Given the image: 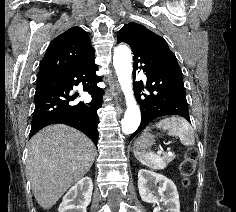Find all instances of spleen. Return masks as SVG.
<instances>
[{
  "mask_svg": "<svg viewBox=\"0 0 236 212\" xmlns=\"http://www.w3.org/2000/svg\"><path fill=\"white\" fill-rule=\"evenodd\" d=\"M152 127L163 129L168 132V135H177L180 142L185 146H191L195 143L194 131L190 123L182 117H167ZM135 156L140 163L153 169L161 170L166 167L163 157L152 152H135Z\"/></svg>",
  "mask_w": 236,
  "mask_h": 212,
  "instance_id": "spleen-1",
  "label": "spleen"
}]
</instances>
